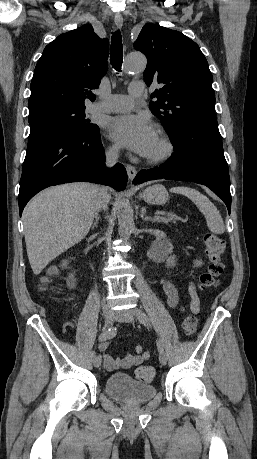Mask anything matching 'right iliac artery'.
<instances>
[{
  "label": "right iliac artery",
  "instance_id": "82829eb1",
  "mask_svg": "<svg viewBox=\"0 0 257 459\" xmlns=\"http://www.w3.org/2000/svg\"><path fill=\"white\" fill-rule=\"evenodd\" d=\"M116 333H117V330L114 327H111L109 329H104L103 332L99 335L98 340L102 342L108 339H112L115 337ZM92 357L93 358L96 357V353L94 351L92 352Z\"/></svg>",
  "mask_w": 257,
  "mask_h": 459
}]
</instances>
